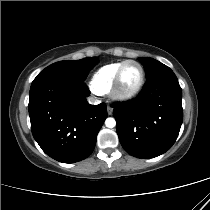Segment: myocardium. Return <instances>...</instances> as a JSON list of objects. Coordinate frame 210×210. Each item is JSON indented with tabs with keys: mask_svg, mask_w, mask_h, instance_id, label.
Instances as JSON below:
<instances>
[{
	"mask_svg": "<svg viewBox=\"0 0 210 210\" xmlns=\"http://www.w3.org/2000/svg\"><path fill=\"white\" fill-rule=\"evenodd\" d=\"M130 63L136 64L139 67L140 78L137 84L133 88L125 90L122 88V84H121L122 73H123L124 68ZM144 80H145V70L142 64L136 60H126L122 63V65L119 67V69L116 72V75L114 77V81L111 87V94L113 98H115L116 100H119V101L129 100L138 94V92L141 90L144 84Z\"/></svg>",
	"mask_w": 210,
	"mask_h": 210,
	"instance_id": "obj_1",
	"label": "myocardium"
}]
</instances>
